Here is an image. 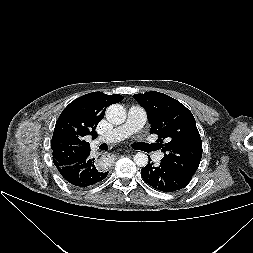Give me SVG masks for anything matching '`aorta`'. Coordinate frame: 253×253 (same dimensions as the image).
<instances>
[{"label":"aorta","mask_w":253,"mask_h":253,"mask_svg":"<svg viewBox=\"0 0 253 253\" xmlns=\"http://www.w3.org/2000/svg\"><path fill=\"white\" fill-rule=\"evenodd\" d=\"M106 118L110 123L120 125L126 120V110L120 104H112L106 110ZM134 162L139 167H145L148 164V157L139 152L134 156Z\"/></svg>","instance_id":"aorta-1"}]
</instances>
